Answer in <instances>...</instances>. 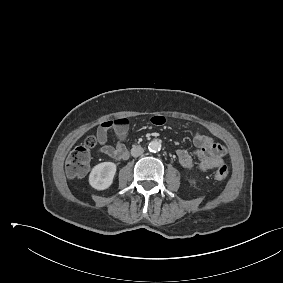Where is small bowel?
Returning <instances> with one entry per match:
<instances>
[{
	"label": "small bowel",
	"mask_w": 283,
	"mask_h": 283,
	"mask_svg": "<svg viewBox=\"0 0 283 283\" xmlns=\"http://www.w3.org/2000/svg\"><path fill=\"white\" fill-rule=\"evenodd\" d=\"M151 122L155 125L164 124L162 116H154ZM129 125L125 118L115 121L103 122L97 130V141L99 143L98 153L109 156L116 160H124L128 157V150L125 146V140L128 134ZM113 130L118 141L115 146L107 144L108 132ZM194 152L186 149H178L176 155L179 163L186 169L196 168L199 171L206 172L224 164L226 148L214 141L208 134L196 133L194 135Z\"/></svg>",
	"instance_id": "1"
}]
</instances>
